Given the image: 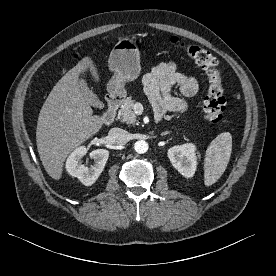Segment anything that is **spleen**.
Listing matches in <instances>:
<instances>
[{
    "label": "spleen",
    "instance_id": "spleen-1",
    "mask_svg": "<svg viewBox=\"0 0 276 276\" xmlns=\"http://www.w3.org/2000/svg\"><path fill=\"white\" fill-rule=\"evenodd\" d=\"M232 152V136L220 133L209 145L204 159V184L211 186L225 172Z\"/></svg>",
    "mask_w": 276,
    "mask_h": 276
}]
</instances>
